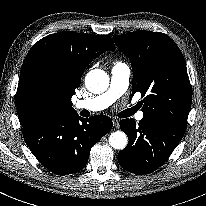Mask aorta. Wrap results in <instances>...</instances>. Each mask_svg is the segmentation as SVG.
<instances>
[{"mask_svg":"<svg viewBox=\"0 0 206 206\" xmlns=\"http://www.w3.org/2000/svg\"><path fill=\"white\" fill-rule=\"evenodd\" d=\"M86 88L95 94L102 93L109 86V77L107 73L101 69L90 71L85 78ZM128 142L127 136L122 131L113 132L109 136V144L114 149L122 150Z\"/></svg>","mask_w":206,"mask_h":206,"instance_id":"aorta-1","label":"aorta"}]
</instances>
